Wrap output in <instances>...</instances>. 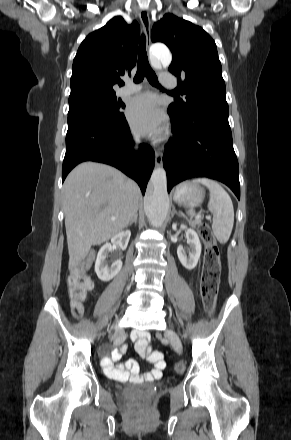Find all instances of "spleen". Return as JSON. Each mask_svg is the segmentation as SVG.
<instances>
[{
  "label": "spleen",
  "instance_id": "obj_1",
  "mask_svg": "<svg viewBox=\"0 0 291 440\" xmlns=\"http://www.w3.org/2000/svg\"><path fill=\"white\" fill-rule=\"evenodd\" d=\"M194 183L205 185L210 191L208 209L213 214L212 230L221 244H225L231 235L234 224L233 203L228 193L214 180L198 178ZM189 215H195L193 210L187 211Z\"/></svg>",
  "mask_w": 291,
  "mask_h": 440
}]
</instances>
